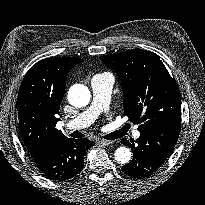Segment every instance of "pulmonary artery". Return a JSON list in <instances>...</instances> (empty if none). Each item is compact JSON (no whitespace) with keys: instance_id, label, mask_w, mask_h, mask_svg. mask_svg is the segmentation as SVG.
<instances>
[{"instance_id":"e3ab8cb5","label":"pulmonary artery","mask_w":205,"mask_h":205,"mask_svg":"<svg viewBox=\"0 0 205 205\" xmlns=\"http://www.w3.org/2000/svg\"><path fill=\"white\" fill-rule=\"evenodd\" d=\"M114 84V76L110 73L96 74L91 78L90 87L92 90V101L90 105L66 126L69 129H83L90 126L101 113L112 115L110 110L111 92ZM135 138L140 132L134 129L132 132Z\"/></svg>"}]
</instances>
